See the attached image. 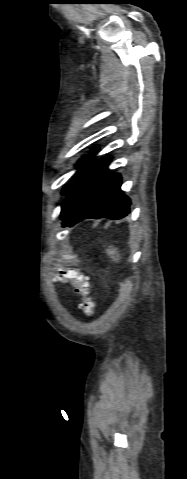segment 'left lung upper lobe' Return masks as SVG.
Wrapping results in <instances>:
<instances>
[{"label":"left lung upper lobe","instance_id":"left-lung-upper-lobe-1","mask_svg":"<svg viewBox=\"0 0 187 479\" xmlns=\"http://www.w3.org/2000/svg\"><path fill=\"white\" fill-rule=\"evenodd\" d=\"M96 151V148H93L89 157L90 159H82L81 161H83L82 164L79 165V169L78 171L76 172V176L78 178V176L89 166V164L91 163V161L94 159V158H91V156L95 153ZM72 184H68L66 185L64 188H63V191H67L69 190V188L71 187Z\"/></svg>","mask_w":187,"mask_h":479}]
</instances>
